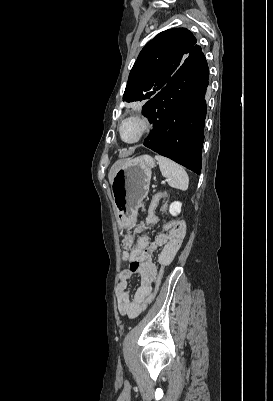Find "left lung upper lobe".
Listing matches in <instances>:
<instances>
[{"mask_svg": "<svg viewBox=\"0 0 273 401\" xmlns=\"http://www.w3.org/2000/svg\"><path fill=\"white\" fill-rule=\"evenodd\" d=\"M196 44L186 28L159 33L141 50L128 78L123 101L152 99L169 82Z\"/></svg>", "mask_w": 273, "mask_h": 401, "instance_id": "obj_1", "label": "left lung upper lobe"}]
</instances>
